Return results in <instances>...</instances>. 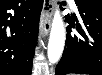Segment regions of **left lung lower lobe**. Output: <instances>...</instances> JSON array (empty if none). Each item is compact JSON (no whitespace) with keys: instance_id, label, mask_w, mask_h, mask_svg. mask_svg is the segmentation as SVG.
Listing matches in <instances>:
<instances>
[{"instance_id":"0a47b994","label":"left lung lower lobe","mask_w":102,"mask_h":75,"mask_svg":"<svg viewBox=\"0 0 102 75\" xmlns=\"http://www.w3.org/2000/svg\"><path fill=\"white\" fill-rule=\"evenodd\" d=\"M83 24L77 18H66L76 32L67 27L65 49L56 66L55 75H102V5L75 1Z\"/></svg>"}]
</instances>
